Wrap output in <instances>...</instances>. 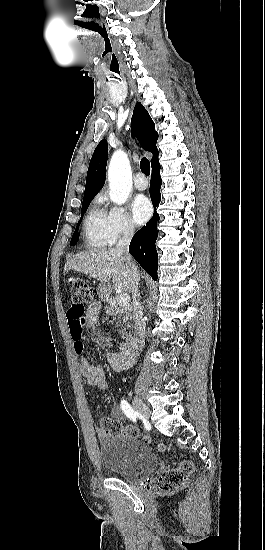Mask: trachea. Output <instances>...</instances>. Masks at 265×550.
<instances>
[{"label": "trachea", "mask_w": 265, "mask_h": 550, "mask_svg": "<svg viewBox=\"0 0 265 550\" xmlns=\"http://www.w3.org/2000/svg\"><path fill=\"white\" fill-rule=\"evenodd\" d=\"M140 169L145 175H150V163L147 159L141 160Z\"/></svg>", "instance_id": "3493384b"}]
</instances>
